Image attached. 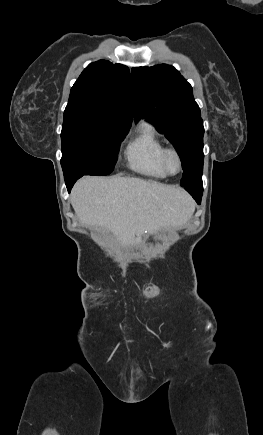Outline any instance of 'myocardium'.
Masks as SVG:
<instances>
[{"label":"myocardium","instance_id":"1","mask_svg":"<svg viewBox=\"0 0 263 435\" xmlns=\"http://www.w3.org/2000/svg\"><path fill=\"white\" fill-rule=\"evenodd\" d=\"M169 155H174L178 160L179 167H178V170L176 172H172L168 167L167 159H168ZM160 161H161L162 168L164 169V171L166 172L167 175L175 176V175L180 174L183 170L182 155H181L180 151L173 146H168V147L163 148Z\"/></svg>","mask_w":263,"mask_h":435}]
</instances>
